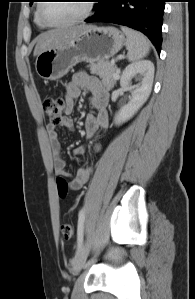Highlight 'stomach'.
Listing matches in <instances>:
<instances>
[{"label":"stomach","instance_id":"obj_1","mask_svg":"<svg viewBox=\"0 0 195 299\" xmlns=\"http://www.w3.org/2000/svg\"><path fill=\"white\" fill-rule=\"evenodd\" d=\"M124 43V34L115 27L87 26L76 37L40 53L35 69L41 78L57 80L79 62L108 60Z\"/></svg>","mask_w":195,"mask_h":299}]
</instances>
